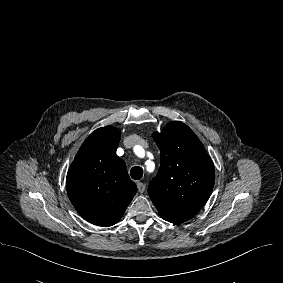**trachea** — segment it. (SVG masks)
<instances>
[{
	"instance_id": "1",
	"label": "trachea",
	"mask_w": 283,
	"mask_h": 283,
	"mask_svg": "<svg viewBox=\"0 0 283 283\" xmlns=\"http://www.w3.org/2000/svg\"><path fill=\"white\" fill-rule=\"evenodd\" d=\"M131 177L134 180H140L143 176V169L139 166L133 167L130 171Z\"/></svg>"
}]
</instances>
